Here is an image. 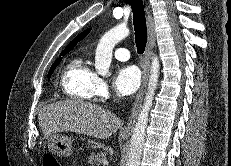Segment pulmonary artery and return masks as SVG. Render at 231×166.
Listing matches in <instances>:
<instances>
[{
  "label": "pulmonary artery",
  "mask_w": 231,
  "mask_h": 166,
  "mask_svg": "<svg viewBox=\"0 0 231 166\" xmlns=\"http://www.w3.org/2000/svg\"><path fill=\"white\" fill-rule=\"evenodd\" d=\"M114 56L120 61H126L130 57V53L126 48H117L114 51Z\"/></svg>",
  "instance_id": "obj_1"
}]
</instances>
